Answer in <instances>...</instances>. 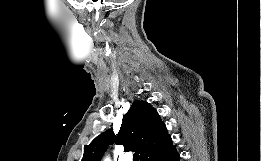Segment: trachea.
<instances>
[{
	"label": "trachea",
	"instance_id": "obj_1",
	"mask_svg": "<svg viewBox=\"0 0 261 161\" xmlns=\"http://www.w3.org/2000/svg\"><path fill=\"white\" fill-rule=\"evenodd\" d=\"M133 159H134V161H139V153L138 152L134 153Z\"/></svg>",
	"mask_w": 261,
	"mask_h": 161
}]
</instances>
